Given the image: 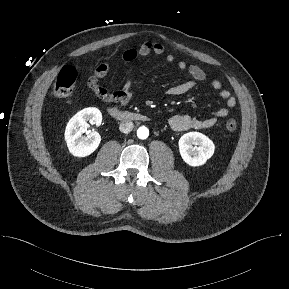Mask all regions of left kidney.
<instances>
[{"instance_id": "obj_1", "label": "left kidney", "mask_w": 289, "mask_h": 289, "mask_svg": "<svg viewBox=\"0 0 289 289\" xmlns=\"http://www.w3.org/2000/svg\"><path fill=\"white\" fill-rule=\"evenodd\" d=\"M214 151V143L202 133L189 132L179 139L180 155L190 166L204 165L212 157Z\"/></svg>"}]
</instances>
